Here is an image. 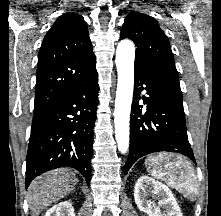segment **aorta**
I'll list each match as a JSON object with an SVG mask.
<instances>
[{"instance_id":"obj_1","label":"aorta","mask_w":221,"mask_h":216,"mask_svg":"<svg viewBox=\"0 0 221 216\" xmlns=\"http://www.w3.org/2000/svg\"><path fill=\"white\" fill-rule=\"evenodd\" d=\"M135 46L130 40H122L116 49L118 74L115 99V138L118 150L124 154L129 147V119L134 89Z\"/></svg>"}]
</instances>
